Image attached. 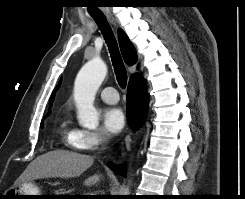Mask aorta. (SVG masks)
<instances>
[{"label": "aorta", "instance_id": "obj_1", "mask_svg": "<svg viewBox=\"0 0 245 199\" xmlns=\"http://www.w3.org/2000/svg\"><path fill=\"white\" fill-rule=\"evenodd\" d=\"M107 74L106 64L98 58L88 61L79 71L74 85V100L79 124L94 129L99 124V113L94 107L97 90ZM128 193V188L126 189Z\"/></svg>", "mask_w": 245, "mask_h": 199}]
</instances>
